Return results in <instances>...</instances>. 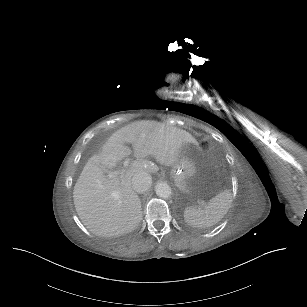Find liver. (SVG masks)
Masks as SVG:
<instances>
[{"label":"liver","instance_id":"liver-1","mask_svg":"<svg viewBox=\"0 0 307 307\" xmlns=\"http://www.w3.org/2000/svg\"><path fill=\"white\" fill-rule=\"evenodd\" d=\"M125 143L132 144L136 160L123 175L108 177L105 171L132 153ZM185 143L197 141L186 130L154 120L135 121L114 132L102 153L89 158L74 186L75 209L86 228L105 237L134 230L142 220V209L132 177L153 172L147 156L165 166L175 165Z\"/></svg>","mask_w":307,"mask_h":307}]
</instances>
